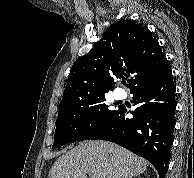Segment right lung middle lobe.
Returning a JSON list of instances; mask_svg holds the SVG:
<instances>
[{
    "label": "right lung middle lobe",
    "mask_w": 194,
    "mask_h": 178,
    "mask_svg": "<svg viewBox=\"0 0 194 178\" xmlns=\"http://www.w3.org/2000/svg\"><path fill=\"white\" fill-rule=\"evenodd\" d=\"M116 112L109 110L105 96L59 112L52 148L87 138Z\"/></svg>",
    "instance_id": "1"
}]
</instances>
